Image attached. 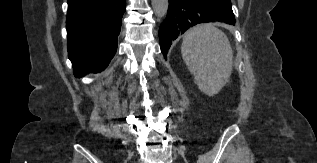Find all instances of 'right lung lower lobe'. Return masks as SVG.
Returning <instances> with one entry per match:
<instances>
[{
	"label": "right lung lower lobe",
	"instance_id": "right-lung-lower-lobe-1",
	"mask_svg": "<svg viewBox=\"0 0 317 163\" xmlns=\"http://www.w3.org/2000/svg\"><path fill=\"white\" fill-rule=\"evenodd\" d=\"M125 0H68V57L76 77L102 72L117 50Z\"/></svg>",
	"mask_w": 317,
	"mask_h": 163
}]
</instances>
